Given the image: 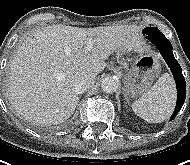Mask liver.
<instances>
[{
    "label": "liver",
    "instance_id": "liver-1",
    "mask_svg": "<svg viewBox=\"0 0 190 165\" xmlns=\"http://www.w3.org/2000/svg\"><path fill=\"white\" fill-rule=\"evenodd\" d=\"M135 26L79 28L50 25L37 29L19 46L10 61L8 99L24 119L59 124L75 111L79 93L75 79L100 74L114 51L140 47ZM88 39L93 47L85 51Z\"/></svg>",
    "mask_w": 190,
    "mask_h": 165
}]
</instances>
